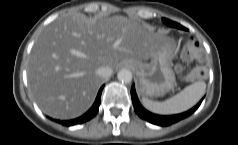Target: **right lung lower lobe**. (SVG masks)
Masks as SVG:
<instances>
[{
  "instance_id": "obj_1",
  "label": "right lung lower lobe",
  "mask_w": 238,
  "mask_h": 145,
  "mask_svg": "<svg viewBox=\"0 0 238 145\" xmlns=\"http://www.w3.org/2000/svg\"><path fill=\"white\" fill-rule=\"evenodd\" d=\"M103 87L104 86H102L100 88L93 106L84 115H82L79 118L73 119V120H67V121L55 120V121L58 123H61L62 125H65V126H72V125H76V124H82V123L87 122L90 119H92L97 114V112L99 110V105L101 102V93H102Z\"/></svg>"
}]
</instances>
